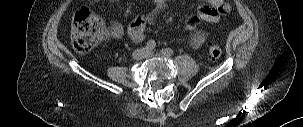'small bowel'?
Listing matches in <instances>:
<instances>
[{"mask_svg":"<svg viewBox=\"0 0 303 127\" xmlns=\"http://www.w3.org/2000/svg\"><path fill=\"white\" fill-rule=\"evenodd\" d=\"M101 0H91L90 6L95 7ZM117 1V0H111ZM206 2L205 6L197 9L195 15H191L185 22V28L192 35L191 46L193 48L200 47L207 38V33L199 32L198 22L203 20L206 22H217L222 14H226L229 11L228 6L224 3V0H202ZM155 8L152 9L146 16L136 15L128 27L129 37L135 41L140 42L145 37V25L146 22H154L160 16V14L167 8V0H153ZM124 28L118 22H112L110 25V35L113 38H119L123 35Z\"/></svg>","mask_w":303,"mask_h":127,"instance_id":"1","label":"small bowel"}]
</instances>
